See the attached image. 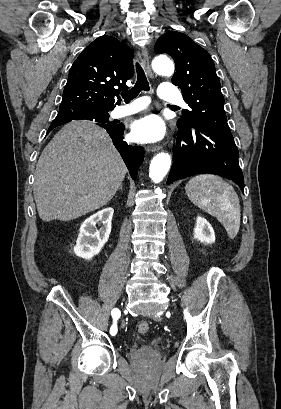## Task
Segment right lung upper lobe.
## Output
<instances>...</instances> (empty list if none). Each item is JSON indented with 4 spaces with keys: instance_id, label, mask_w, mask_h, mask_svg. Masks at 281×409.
<instances>
[{
    "instance_id": "1",
    "label": "right lung upper lobe",
    "mask_w": 281,
    "mask_h": 409,
    "mask_svg": "<svg viewBox=\"0 0 281 409\" xmlns=\"http://www.w3.org/2000/svg\"><path fill=\"white\" fill-rule=\"evenodd\" d=\"M133 58V52L116 38H97L73 63L59 110H113L120 103L118 93L128 88L126 81L134 74Z\"/></svg>"
}]
</instances>
